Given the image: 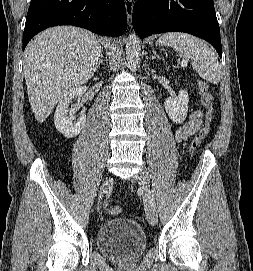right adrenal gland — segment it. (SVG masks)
<instances>
[{
    "label": "right adrenal gland",
    "instance_id": "1",
    "mask_svg": "<svg viewBox=\"0 0 253 271\" xmlns=\"http://www.w3.org/2000/svg\"><path fill=\"white\" fill-rule=\"evenodd\" d=\"M103 64V54L101 53L100 57H99V61L98 64L96 66V69H98L100 67V65Z\"/></svg>",
    "mask_w": 253,
    "mask_h": 271
}]
</instances>
